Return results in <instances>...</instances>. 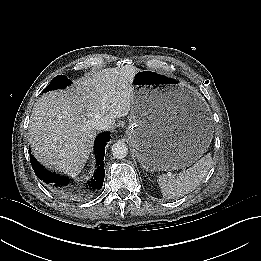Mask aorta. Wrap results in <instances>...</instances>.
Returning a JSON list of instances; mask_svg holds the SVG:
<instances>
[{
	"label": "aorta",
	"mask_w": 261,
	"mask_h": 261,
	"mask_svg": "<svg viewBox=\"0 0 261 261\" xmlns=\"http://www.w3.org/2000/svg\"><path fill=\"white\" fill-rule=\"evenodd\" d=\"M111 152L117 159L125 158L128 154V146L122 141H117L112 145Z\"/></svg>",
	"instance_id": "762f6f07"
}]
</instances>
